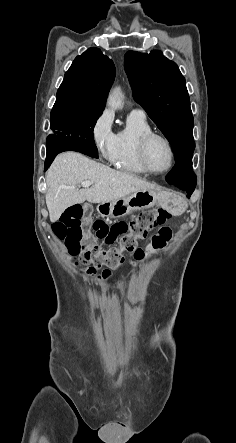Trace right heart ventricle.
Returning a JSON list of instances; mask_svg holds the SVG:
<instances>
[{"label": "right heart ventricle", "mask_w": 236, "mask_h": 443, "mask_svg": "<svg viewBox=\"0 0 236 443\" xmlns=\"http://www.w3.org/2000/svg\"><path fill=\"white\" fill-rule=\"evenodd\" d=\"M152 131L146 117L129 114L126 125L116 134V151L112 163L124 172L146 174L138 158V141L140 137Z\"/></svg>", "instance_id": "1"}]
</instances>
